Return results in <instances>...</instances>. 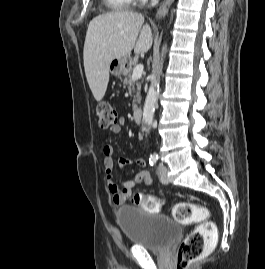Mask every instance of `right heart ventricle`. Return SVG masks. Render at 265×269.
Masks as SVG:
<instances>
[{"instance_id":"obj_1","label":"right heart ventricle","mask_w":265,"mask_h":269,"mask_svg":"<svg viewBox=\"0 0 265 269\" xmlns=\"http://www.w3.org/2000/svg\"><path fill=\"white\" fill-rule=\"evenodd\" d=\"M105 2L113 10H125L130 8L135 0H105Z\"/></svg>"}]
</instances>
